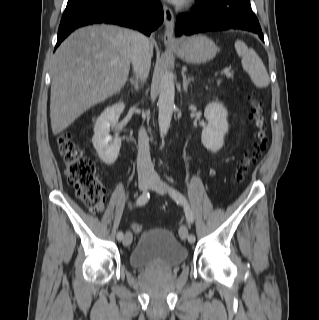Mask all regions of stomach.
<instances>
[{
  "mask_svg": "<svg viewBox=\"0 0 319 320\" xmlns=\"http://www.w3.org/2000/svg\"><path fill=\"white\" fill-rule=\"evenodd\" d=\"M175 50L180 59L191 64L206 63L217 54L214 41L201 34L180 39Z\"/></svg>",
  "mask_w": 319,
  "mask_h": 320,
  "instance_id": "1",
  "label": "stomach"
}]
</instances>
